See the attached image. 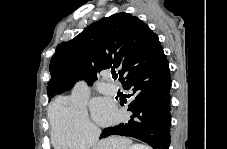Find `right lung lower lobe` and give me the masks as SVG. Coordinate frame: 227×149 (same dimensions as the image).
Returning a JSON list of instances; mask_svg holds the SVG:
<instances>
[{
  "label": "right lung lower lobe",
  "instance_id": "1",
  "mask_svg": "<svg viewBox=\"0 0 227 149\" xmlns=\"http://www.w3.org/2000/svg\"><path fill=\"white\" fill-rule=\"evenodd\" d=\"M123 88L133 94L128 111L130 119L103 130L100 138L123 135L146 142L153 149H169L170 146V70L166 57L153 67L140 71L123 83Z\"/></svg>",
  "mask_w": 227,
  "mask_h": 149
}]
</instances>
